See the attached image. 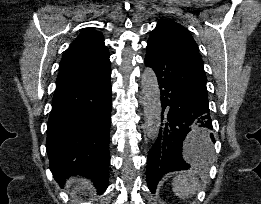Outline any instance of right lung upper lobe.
Returning <instances> with one entry per match:
<instances>
[{
    "label": "right lung upper lobe",
    "mask_w": 261,
    "mask_h": 204,
    "mask_svg": "<svg viewBox=\"0 0 261 204\" xmlns=\"http://www.w3.org/2000/svg\"><path fill=\"white\" fill-rule=\"evenodd\" d=\"M109 60L102 34L88 28L70 45L59 65L58 77L96 68Z\"/></svg>",
    "instance_id": "right-lung-upper-lobe-1"
}]
</instances>
